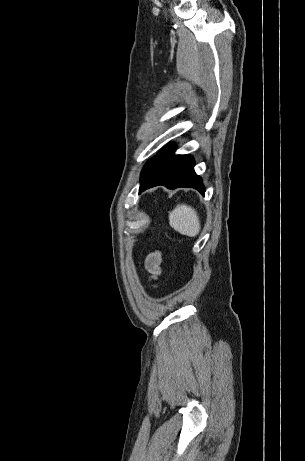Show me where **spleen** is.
<instances>
[{"label":"spleen","instance_id":"spleen-1","mask_svg":"<svg viewBox=\"0 0 305 461\" xmlns=\"http://www.w3.org/2000/svg\"><path fill=\"white\" fill-rule=\"evenodd\" d=\"M169 224L182 235L195 237L200 231V221L197 212L191 206L179 204L169 213Z\"/></svg>","mask_w":305,"mask_h":461}]
</instances>
